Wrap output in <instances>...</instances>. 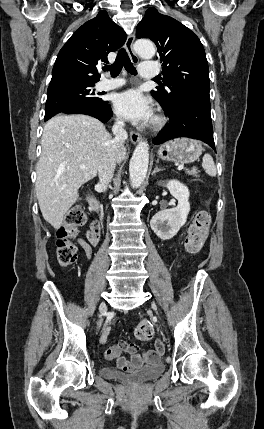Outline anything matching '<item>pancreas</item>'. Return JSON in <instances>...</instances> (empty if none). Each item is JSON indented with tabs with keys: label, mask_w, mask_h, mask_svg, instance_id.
<instances>
[{
	"label": "pancreas",
	"mask_w": 264,
	"mask_h": 429,
	"mask_svg": "<svg viewBox=\"0 0 264 429\" xmlns=\"http://www.w3.org/2000/svg\"><path fill=\"white\" fill-rule=\"evenodd\" d=\"M187 174L188 175H192L194 177H198L199 176V171L197 169L194 170H187Z\"/></svg>",
	"instance_id": "obj_1"
}]
</instances>
